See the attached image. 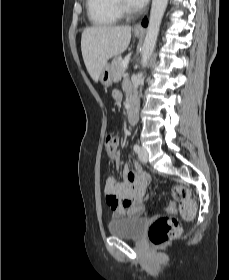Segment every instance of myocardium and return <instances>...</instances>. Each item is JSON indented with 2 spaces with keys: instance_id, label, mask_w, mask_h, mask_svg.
<instances>
[{
  "instance_id": "1",
  "label": "myocardium",
  "mask_w": 229,
  "mask_h": 280,
  "mask_svg": "<svg viewBox=\"0 0 229 280\" xmlns=\"http://www.w3.org/2000/svg\"><path fill=\"white\" fill-rule=\"evenodd\" d=\"M115 2L120 14H132L136 11L135 8L128 6L126 0H115Z\"/></svg>"
}]
</instances>
